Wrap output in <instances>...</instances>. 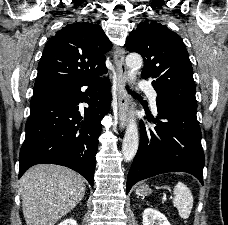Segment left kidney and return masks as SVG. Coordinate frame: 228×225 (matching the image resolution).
<instances>
[{
	"label": "left kidney",
	"instance_id": "1",
	"mask_svg": "<svg viewBox=\"0 0 228 225\" xmlns=\"http://www.w3.org/2000/svg\"><path fill=\"white\" fill-rule=\"evenodd\" d=\"M143 225H170L165 215L156 209H145L143 213Z\"/></svg>",
	"mask_w": 228,
	"mask_h": 225
}]
</instances>
